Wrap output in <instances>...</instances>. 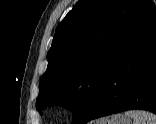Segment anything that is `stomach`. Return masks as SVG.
Returning a JSON list of instances; mask_svg holds the SVG:
<instances>
[{"label":"stomach","instance_id":"stomach-1","mask_svg":"<svg viewBox=\"0 0 156 124\" xmlns=\"http://www.w3.org/2000/svg\"><path fill=\"white\" fill-rule=\"evenodd\" d=\"M106 124H132L131 120L121 114L114 115L111 119L106 121Z\"/></svg>","mask_w":156,"mask_h":124}]
</instances>
